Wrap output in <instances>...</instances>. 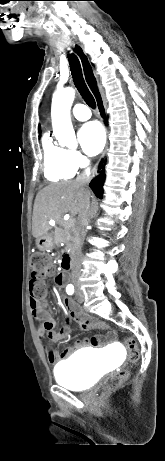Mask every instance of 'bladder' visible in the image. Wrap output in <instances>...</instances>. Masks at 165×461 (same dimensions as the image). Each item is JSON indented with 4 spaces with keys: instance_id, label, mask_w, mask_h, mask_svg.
<instances>
[{
    "instance_id": "obj_1",
    "label": "bladder",
    "mask_w": 165,
    "mask_h": 461,
    "mask_svg": "<svg viewBox=\"0 0 165 461\" xmlns=\"http://www.w3.org/2000/svg\"><path fill=\"white\" fill-rule=\"evenodd\" d=\"M105 370V360L91 359V353L81 351L59 362L53 374L58 384L72 390H84L91 387Z\"/></svg>"
}]
</instances>
